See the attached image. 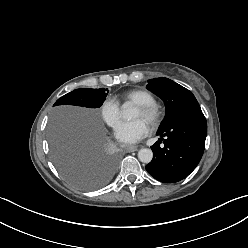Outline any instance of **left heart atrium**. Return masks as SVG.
<instances>
[{
  "instance_id": "obj_1",
  "label": "left heart atrium",
  "mask_w": 248,
  "mask_h": 248,
  "mask_svg": "<svg viewBox=\"0 0 248 248\" xmlns=\"http://www.w3.org/2000/svg\"><path fill=\"white\" fill-rule=\"evenodd\" d=\"M148 132L147 122L141 118L120 123L116 130V138L125 144H134L141 140Z\"/></svg>"
}]
</instances>
